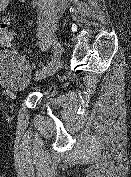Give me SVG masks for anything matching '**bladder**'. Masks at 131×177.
Returning <instances> with one entry per match:
<instances>
[{
	"instance_id": "obj_1",
	"label": "bladder",
	"mask_w": 131,
	"mask_h": 177,
	"mask_svg": "<svg viewBox=\"0 0 131 177\" xmlns=\"http://www.w3.org/2000/svg\"><path fill=\"white\" fill-rule=\"evenodd\" d=\"M0 80L12 89L18 90L29 82L28 66L19 54L8 51L0 59Z\"/></svg>"
}]
</instances>
